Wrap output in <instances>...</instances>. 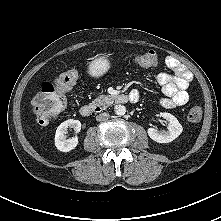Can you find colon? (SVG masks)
<instances>
[{
	"label": "colon",
	"mask_w": 221,
	"mask_h": 221,
	"mask_svg": "<svg viewBox=\"0 0 221 221\" xmlns=\"http://www.w3.org/2000/svg\"><path fill=\"white\" fill-rule=\"evenodd\" d=\"M134 61L141 67H152L158 62L154 51L134 55ZM78 72L75 69L61 73L53 82H44L34 97L31 110L38 125H47L55 120L66 104V93L75 85ZM189 121L197 122L202 117V109L192 106L187 115Z\"/></svg>",
	"instance_id": "colon-1"
}]
</instances>
